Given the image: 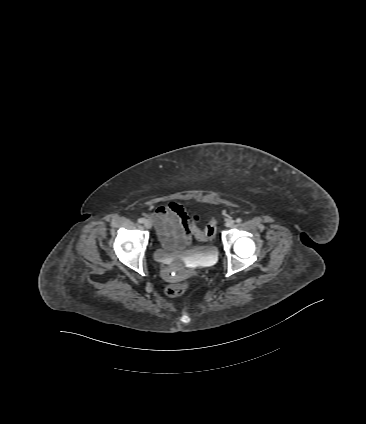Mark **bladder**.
<instances>
[{
	"instance_id": "obj_1",
	"label": "bladder",
	"mask_w": 366,
	"mask_h": 424,
	"mask_svg": "<svg viewBox=\"0 0 366 424\" xmlns=\"http://www.w3.org/2000/svg\"><path fill=\"white\" fill-rule=\"evenodd\" d=\"M216 253H217V248L213 245L197 246L191 250H187L180 253L168 252L158 247L154 250L153 257L156 261L164 263L179 255H186V256L197 258V259H204L210 256H214L216 255Z\"/></svg>"
}]
</instances>
